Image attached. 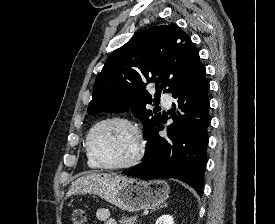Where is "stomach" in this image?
I'll return each mask as SVG.
<instances>
[{
  "mask_svg": "<svg viewBox=\"0 0 275 224\" xmlns=\"http://www.w3.org/2000/svg\"><path fill=\"white\" fill-rule=\"evenodd\" d=\"M163 180L143 181L106 173L83 175L71 183V194H94L116 207L137 212L161 206L169 197Z\"/></svg>",
  "mask_w": 275,
  "mask_h": 224,
  "instance_id": "obj_1",
  "label": "stomach"
}]
</instances>
